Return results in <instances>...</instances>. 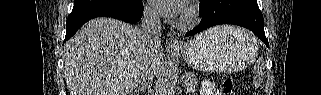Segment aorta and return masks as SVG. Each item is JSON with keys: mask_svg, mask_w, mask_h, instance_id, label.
I'll return each mask as SVG.
<instances>
[{"mask_svg": "<svg viewBox=\"0 0 321 95\" xmlns=\"http://www.w3.org/2000/svg\"><path fill=\"white\" fill-rule=\"evenodd\" d=\"M177 79L176 59L174 56H169L161 73L159 95H175Z\"/></svg>", "mask_w": 321, "mask_h": 95, "instance_id": "obj_1", "label": "aorta"}]
</instances>
